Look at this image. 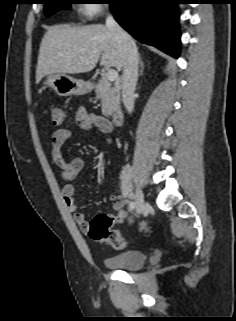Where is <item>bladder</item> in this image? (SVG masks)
Here are the masks:
<instances>
[{
	"instance_id": "bladder-1",
	"label": "bladder",
	"mask_w": 236,
	"mask_h": 321,
	"mask_svg": "<svg viewBox=\"0 0 236 321\" xmlns=\"http://www.w3.org/2000/svg\"><path fill=\"white\" fill-rule=\"evenodd\" d=\"M147 256L141 250H129L106 257L104 263L117 270H138L146 263Z\"/></svg>"
}]
</instances>
